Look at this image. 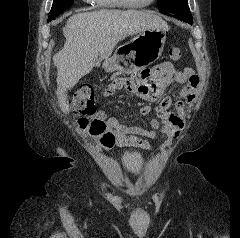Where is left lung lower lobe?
Wrapping results in <instances>:
<instances>
[{
  "mask_svg": "<svg viewBox=\"0 0 240 238\" xmlns=\"http://www.w3.org/2000/svg\"><path fill=\"white\" fill-rule=\"evenodd\" d=\"M173 16V15H172ZM181 21H184V22H187L189 24H192L193 23V19H185V18H181V17H178V16H173Z\"/></svg>",
  "mask_w": 240,
  "mask_h": 238,
  "instance_id": "1",
  "label": "left lung lower lobe"
}]
</instances>
